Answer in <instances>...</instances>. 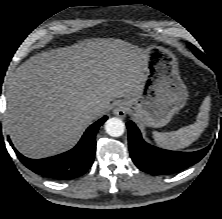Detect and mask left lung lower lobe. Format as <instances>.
<instances>
[{
    "mask_svg": "<svg viewBox=\"0 0 222 219\" xmlns=\"http://www.w3.org/2000/svg\"><path fill=\"white\" fill-rule=\"evenodd\" d=\"M192 52L209 65L206 56L200 50L195 48ZM127 128L131 158L140 170L150 174L165 175L186 169L200 161L210 148L208 146L195 152L164 150L146 143L134 122H128Z\"/></svg>",
    "mask_w": 222,
    "mask_h": 219,
    "instance_id": "0a47b994",
    "label": "left lung lower lobe"
}]
</instances>
